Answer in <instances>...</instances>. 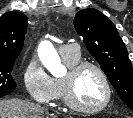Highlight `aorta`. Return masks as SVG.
Returning <instances> with one entry per match:
<instances>
[{"label": "aorta", "instance_id": "762f6f07", "mask_svg": "<svg viewBox=\"0 0 133 118\" xmlns=\"http://www.w3.org/2000/svg\"><path fill=\"white\" fill-rule=\"evenodd\" d=\"M39 57L43 65L52 75L59 76L64 72L65 68L61 64L59 55L52 44L47 43L43 50L39 53Z\"/></svg>", "mask_w": 133, "mask_h": 118}]
</instances>
